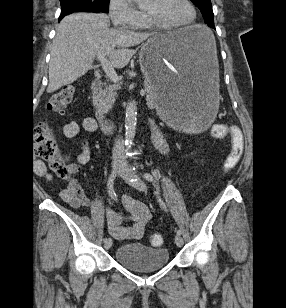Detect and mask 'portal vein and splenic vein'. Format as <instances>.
Returning <instances> with one entry per match:
<instances>
[{"label": "portal vein and splenic vein", "instance_id": "obj_1", "mask_svg": "<svg viewBox=\"0 0 286 308\" xmlns=\"http://www.w3.org/2000/svg\"><path fill=\"white\" fill-rule=\"evenodd\" d=\"M97 58L101 63V66L104 70V72L107 74V76L114 82L117 83L119 78L117 73L115 72L112 64L110 61L106 58V54L104 52H99L97 54ZM146 90H141L140 94L145 95Z\"/></svg>", "mask_w": 286, "mask_h": 308}]
</instances>
